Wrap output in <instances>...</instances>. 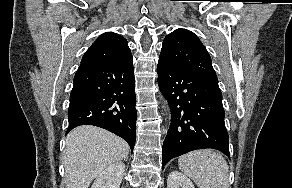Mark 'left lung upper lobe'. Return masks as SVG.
Here are the masks:
<instances>
[{"label":"left lung upper lobe","mask_w":292,"mask_h":188,"mask_svg":"<svg viewBox=\"0 0 292 188\" xmlns=\"http://www.w3.org/2000/svg\"><path fill=\"white\" fill-rule=\"evenodd\" d=\"M159 60L218 82L211 58L199 38L186 29H176L163 41Z\"/></svg>","instance_id":"1"}]
</instances>
